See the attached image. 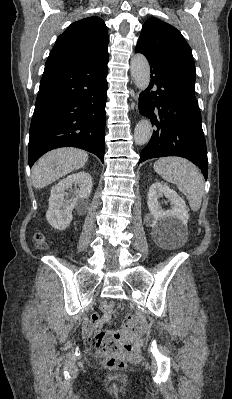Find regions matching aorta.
Segmentation results:
<instances>
[{
    "label": "aorta",
    "instance_id": "1",
    "mask_svg": "<svg viewBox=\"0 0 232 399\" xmlns=\"http://www.w3.org/2000/svg\"><path fill=\"white\" fill-rule=\"evenodd\" d=\"M131 75L135 80V85L140 90H145L150 83V66L143 54H136L130 62ZM152 124L148 119L138 122L134 130V141L137 145L146 144L152 135Z\"/></svg>",
    "mask_w": 232,
    "mask_h": 399
}]
</instances>
